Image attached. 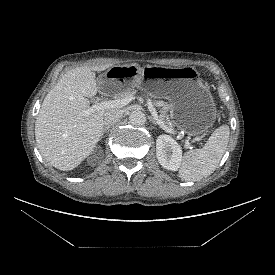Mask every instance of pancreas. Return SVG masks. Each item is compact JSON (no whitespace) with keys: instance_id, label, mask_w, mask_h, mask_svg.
Wrapping results in <instances>:
<instances>
[{"instance_id":"obj_1","label":"pancreas","mask_w":275,"mask_h":275,"mask_svg":"<svg viewBox=\"0 0 275 275\" xmlns=\"http://www.w3.org/2000/svg\"><path fill=\"white\" fill-rule=\"evenodd\" d=\"M136 93V90L134 89H128L122 92H119L115 95L116 99H122L127 95H134ZM154 106L159 109V118L170 127H173V123L171 120V116L167 113L170 110V105L167 102H164L162 100H156L154 103Z\"/></svg>"}]
</instances>
